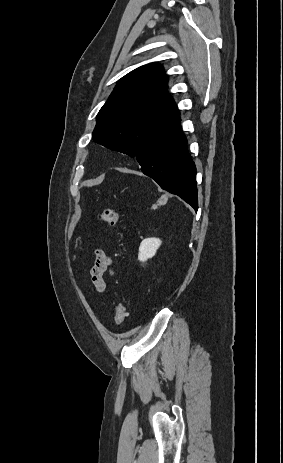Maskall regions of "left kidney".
Here are the masks:
<instances>
[{"instance_id": "left-kidney-1", "label": "left kidney", "mask_w": 283, "mask_h": 463, "mask_svg": "<svg viewBox=\"0 0 283 463\" xmlns=\"http://www.w3.org/2000/svg\"><path fill=\"white\" fill-rule=\"evenodd\" d=\"M161 240L158 238L144 239L139 247L138 260L145 262L147 259L152 258L161 245Z\"/></svg>"}]
</instances>
